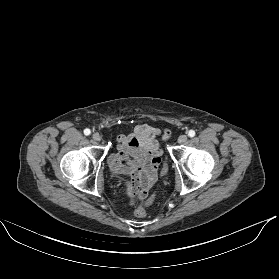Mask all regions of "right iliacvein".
Masks as SVG:
<instances>
[{"instance_id":"obj_1","label":"right iliac vein","mask_w":279,"mask_h":279,"mask_svg":"<svg viewBox=\"0 0 279 279\" xmlns=\"http://www.w3.org/2000/svg\"><path fill=\"white\" fill-rule=\"evenodd\" d=\"M92 138H93L94 141H100L101 140V136L98 133H94L92 135Z\"/></svg>"}]
</instances>
